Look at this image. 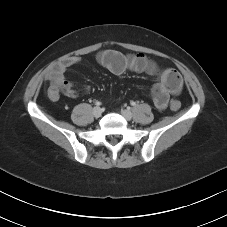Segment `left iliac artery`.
Returning <instances> with one entry per match:
<instances>
[{"instance_id": "44dca946", "label": "left iliac artery", "mask_w": 227, "mask_h": 227, "mask_svg": "<svg viewBox=\"0 0 227 227\" xmlns=\"http://www.w3.org/2000/svg\"><path fill=\"white\" fill-rule=\"evenodd\" d=\"M131 105H132V106H135L136 103H135L134 101H131Z\"/></svg>"}]
</instances>
